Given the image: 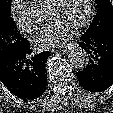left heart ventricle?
Wrapping results in <instances>:
<instances>
[{
	"instance_id": "1",
	"label": "left heart ventricle",
	"mask_w": 113,
	"mask_h": 113,
	"mask_svg": "<svg viewBox=\"0 0 113 113\" xmlns=\"http://www.w3.org/2000/svg\"><path fill=\"white\" fill-rule=\"evenodd\" d=\"M87 8V0H61L54 9L46 13V19L50 22L61 21L75 28L85 17Z\"/></svg>"
}]
</instances>
